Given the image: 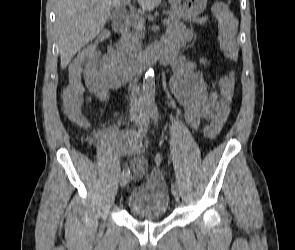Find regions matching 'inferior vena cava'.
<instances>
[{
    "mask_svg": "<svg viewBox=\"0 0 295 250\" xmlns=\"http://www.w3.org/2000/svg\"><path fill=\"white\" fill-rule=\"evenodd\" d=\"M137 82L138 80L135 78L131 86L130 113L132 116H142L144 110L143 98Z\"/></svg>",
    "mask_w": 295,
    "mask_h": 250,
    "instance_id": "obj_1",
    "label": "inferior vena cava"
}]
</instances>
